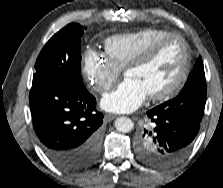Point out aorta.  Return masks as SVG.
<instances>
[{
  "instance_id": "1",
  "label": "aorta",
  "mask_w": 223,
  "mask_h": 188,
  "mask_svg": "<svg viewBox=\"0 0 223 188\" xmlns=\"http://www.w3.org/2000/svg\"><path fill=\"white\" fill-rule=\"evenodd\" d=\"M115 128L123 133L130 132L133 128V122L130 118L119 117L115 120Z\"/></svg>"
}]
</instances>
